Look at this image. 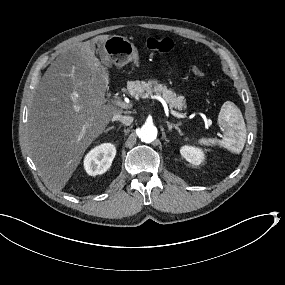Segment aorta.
Masks as SVG:
<instances>
[{"instance_id":"obj_1","label":"aorta","mask_w":285,"mask_h":285,"mask_svg":"<svg viewBox=\"0 0 285 285\" xmlns=\"http://www.w3.org/2000/svg\"><path fill=\"white\" fill-rule=\"evenodd\" d=\"M139 137L141 141L151 143L157 137V128L152 124H144L140 129Z\"/></svg>"}]
</instances>
